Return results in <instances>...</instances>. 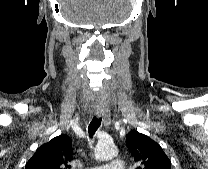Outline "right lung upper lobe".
Returning a JSON list of instances; mask_svg holds the SVG:
<instances>
[{
  "instance_id": "1",
  "label": "right lung upper lobe",
  "mask_w": 208,
  "mask_h": 169,
  "mask_svg": "<svg viewBox=\"0 0 208 169\" xmlns=\"http://www.w3.org/2000/svg\"><path fill=\"white\" fill-rule=\"evenodd\" d=\"M72 155L71 139L63 134L40 146L25 169H70Z\"/></svg>"
}]
</instances>
